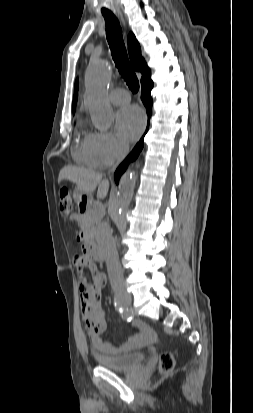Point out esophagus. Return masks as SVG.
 Segmentation results:
<instances>
[{"label":"esophagus","mask_w":253,"mask_h":413,"mask_svg":"<svg viewBox=\"0 0 253 413\" xmlns=\"http://www.w3.org/2000/svg\"><path fill=\"white\" fill-rule=\"evenodd\" d=\"M121 19H122V21L124 22V19H123L122 15H121Z\"/></svg>","instance_id":"1"}]
</instances>
